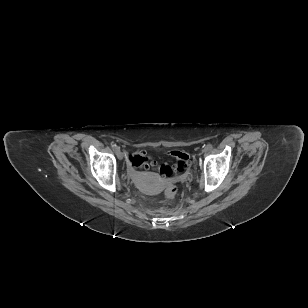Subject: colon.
<instances>
[{"label":"colon","instance_id":"obj_1","mask_svg":"<svg viewBox=\"0 0 308 308\" xmlns=\"http://www.w3.org/2000/svg\"><path fill=\"white\" fill-rule=\"evenodd\" d=\"M170 155L173 156L177 160V162L174 167L167 164H163L160 166V172L165 176H170L173 171H183L187 168L189 162L188 155L182 151H171ZM130 162L136 167H149V165L151 164L150 159L146 156L144 152H138L133 154L130 157ZM177 192V187L174 184L170 183L167 185L164 194L168 199H173L177 195Z\"/></svg>","mask_w":308,"mask_h":308}]
</instances>
